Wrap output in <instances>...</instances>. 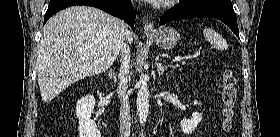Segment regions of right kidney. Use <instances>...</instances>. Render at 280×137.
<instances>
[{
    "mask_svg": "<svg viewBox=\"0 0 280 137\" xmlns=\"http://www.w3.org/2000/svg\"><path fill=\"white\" fill-rule=\"evenodd\" d=\"M95 99L93 95H86L78 100L76 104V115L79 119V136L80 137H100L96 123L90 119Z\"/></svg>",
    "mask_w": 280,
    "mask_h": 137,
    "instance_id": "right-kidney-1",
    "label": "right kidney"
}]
</instances>
